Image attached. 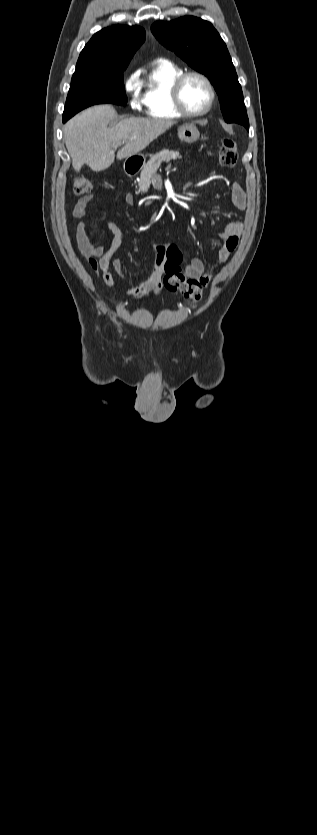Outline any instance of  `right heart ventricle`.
<instances>
[{
  "instance_id": "e07e8e85",
  "label": "right heart ventricle",
  "mask_w": 317,
  "mask_h": 835,
  "mask_svg": "<svg viewBox=\"0 0 317 835\" xmlns=\"http://www.w3.org/2000/svg\"><path fill=\"white\" fill-rule=\"evenodd\" d=\"M183 73L178 65L169 60L159 59L143 82L142 103L146 114L154 119H175L183 115L175 108L171 87Z\"/></svg>"
}]
</instances>
